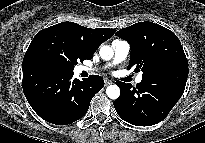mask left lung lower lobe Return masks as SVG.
I'll list each match as a JSON object with an SVG mask.
<instances>
[{"mask_svg":"<svg viewBox=\"0 0 205 143\" xmlns=\"http://www.w3.org/2000/svg\"><path fill=\"white\" fill-rule=\"evenodd\" d=\"M188 70L170 69L142 77L131 84L117 82L121 95L114 107L124 121L135 126H151L162 121L182 96Z\"/></svg>","mask_w":205,"mask_h":143,"instance_id":"1","label":"left lung lower lobe"}]
</instances>
